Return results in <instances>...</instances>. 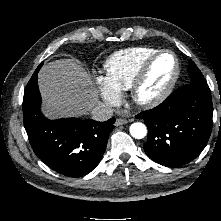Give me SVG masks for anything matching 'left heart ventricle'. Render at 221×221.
I'll return each mask as SVG.
<instances>
[{
    "instance_id": "1",
    "label": "left heart ventricle",
    "mask_w": 221,
    "mask_h": 221,
    "mask_svg": "<svg viewBox=\"0 0 221 221\" xmlns=\"http://www.w3.org/2000/svg\"><path fill=\"white\" fill-rule=\"evenodd\" d=\"M174 59L170 54L160 56L153 64L149 76L140 90L142 97H151L160 92L173 76Z\"/></svg>"
}]
</instances>
